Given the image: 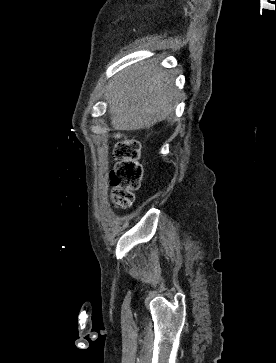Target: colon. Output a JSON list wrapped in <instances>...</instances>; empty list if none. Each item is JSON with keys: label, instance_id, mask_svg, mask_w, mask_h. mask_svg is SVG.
<instances>
[{"label": "colon", "instance_id": "colon-1", "mask_svg": "<svg viewBox=\"0 0 276 363\" xmlns=\"http://www.w3.org/2000/svg\"><path fill=\"white\" fill-rule=\"evenodd\" d=\"M139 156L140 145L135 140L121 139L114 149L116 164L110 173V184L112 201L119 208L132 205L134 191L140 186L143 168Z\"/></svg>", "mask_w": 276, "mask_h": 363}]
</instances>
